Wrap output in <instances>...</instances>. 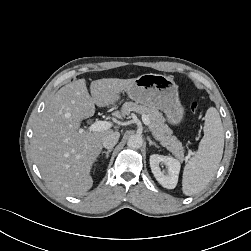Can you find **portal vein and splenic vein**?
<instances>
[{"label": "portal vein and splenic vein", "mask_w": 251, "mask_h": 251, "mask_svg": "<svg viewBox=\"0 0 251 251\" xmlns=\"http://www.w3.org/2000/svg\"><path fill=\"white\" fill-rule=\"evenodd\" d=\"M142 121L143 123L146 125V126H149L150 125V120L148 118L147 115H142ZM112 126V123L111 122H108V121H95L93 124H91L89 127H88V130L90 132H96V131H104V130H107L109 128H111ZM83 131V129H82Z\"/></svg>", "instance_id": "1"}]
</instances>
